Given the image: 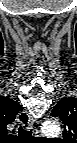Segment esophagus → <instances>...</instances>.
I'll list each match as a JSON object with an SVG mask.
<instances>
[{"mask_svg": "<svg viewBox=\"0 0 77 143\" xmlns=\"http://www.w3.org/2000/svg\"><path fill=\"white\" fill-rule=\"evenodd\" d=\"M18 122L23 126L24 129L30 130L33 128L34 119L27 111H22L18 115Z\"/></svg>", "mask_w": 77, "mask_h": 143, "instance_id": "34e87169", "label": "esophagus"}]
</instances>
